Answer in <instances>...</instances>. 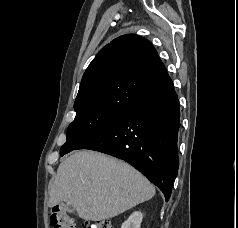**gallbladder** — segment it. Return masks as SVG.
Here are the masks:
<instances>
[{
	"mask_svg": "<svg viewBox=\"0 0 238 228\" xmlns=\"http://www.w3.org/2000/svg\"><path fill=\"white\" fill-rule=\"evenodd\" d=\"M66 209L70 213L74 212V210H75V208L73 206H71V205L67 206Z\"/></svg>",
	"mask_w": 238,
	"mask_h": 228,
	"instance_id": "gallbladder-1",
	"label": "gallbladder"
}]
</instances>
